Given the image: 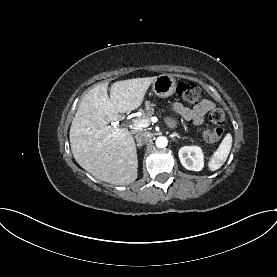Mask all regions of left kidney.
<instances>
[{"label":"left kidney","instance_id":"obj_1","mask_svg":"<svg viewBox=\"0 0 277 277\" xmlns=\"http://www.w3.org/2000/svg\"><path fill=\"white\" fill-rule=\"evenodd\" d=\"M179 159L188 170L201 171L204 167V155L198 146H184L179 150Z\"/></svg>","mask_w":277,"mask_h":277}]
</instances>
